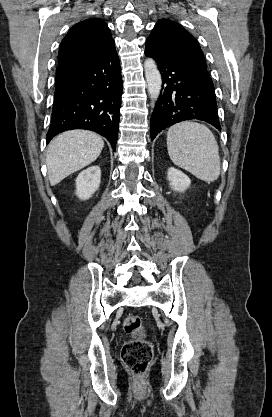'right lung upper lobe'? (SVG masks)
Segmentation results:
<instances>
[{"label": "right lung upper lobe", "mask_w": 272, "mask_h": 417, "mask_svg": "<svg viewBox=\"0 0 272 417\" xmlns=\"http://www.w3.org/2000/svg\"><path fill=\"white\" fill-rule=\"evenodd\" d=\"M114 43L107 24L97 18L75 24L60 44L58 64L85 63L98 58Z\"/></svg>", "instance_id": "cb5924a9"}]
</instances>
